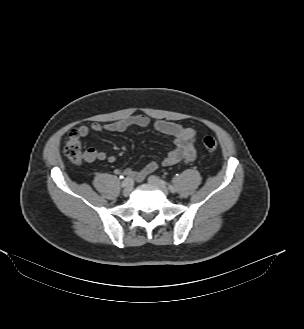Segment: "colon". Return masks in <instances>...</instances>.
I'll return each mask as SVG.
<instances>
[{
	"mask_svg": "<svg viewBox=\"0 0 304 329\" xmlns=\"http://www.w3.org/2000/svg\"><path fill=\"white\" fill-rule=\"evenodd\" d=\"M204 147L214 152L218 148L216 139L213 136H206L203 139ZM64 153L66 157L73 162H80L83 158L81 135L77 129H72L64 142Z\"/></svg>",
	"mask_w": 304,
	"mask_h": 329,
	"instance_id": "colon-1",
	"label": "colon"
}]
</instances>
